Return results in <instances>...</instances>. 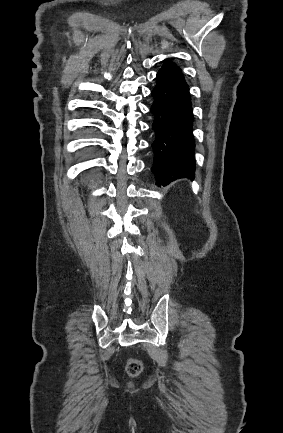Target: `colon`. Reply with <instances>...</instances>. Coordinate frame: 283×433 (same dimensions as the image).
I'll return each mask as SVG.
<instances>
[{"instance_id": "colon-1", "label": "colon", "mask_w": 283, "mask_h": 433, "mask_svg": "<svg viewBox=\"0 0 283 433\" xmlns=\"http://www.w3.org/2000/svg\"><path fill=\"white\" fill-rule=\"evenodd\" d=\"M141 370H142V364L139 360L130 359L127 362L126 371L130 376L132 377L137 376L141 372Z\"/></svg>"}]
</instances>
